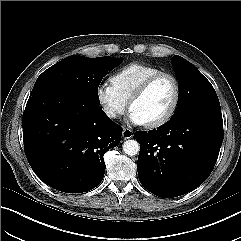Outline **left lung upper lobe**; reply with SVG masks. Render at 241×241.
<instances>
[{"label": "left lung upper lobe", "mask_w": 241, "mask_h": 241, "mask_svg": "<svg viewBox=\"0 0 241 241\" xmlns=\"http://www.w3.org/2000/svg\"><path fill=\"white\" fill-rule=\"evenodd\" d=\"M172 64L179 84V101L174 115L193 108L220 109L213 86L194 65L178 55L172 58Z\"/></svg>", "instance_id": "1"}]
</instances>
